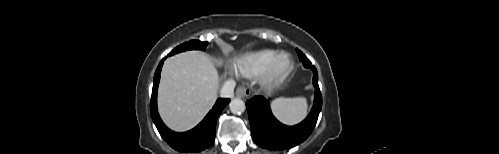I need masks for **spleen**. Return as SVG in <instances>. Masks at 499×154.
I'll return each instance as SVG.
<instances>
[{"label":"spleen","instance_id":"3e777b00","mask_svg":"<svg viewBox=\"0 0 499 154\" xmlns=\"http://www.w3.org/2000/svg\"><path fill=\"white\" fill-rule=\"evenodd\" d=\"M273 114L284 124L294 125L307 115L308 105L306 98H277L271 102Z\"/></svg>","mask_w":499,"mask_h":154}]
</instances>
